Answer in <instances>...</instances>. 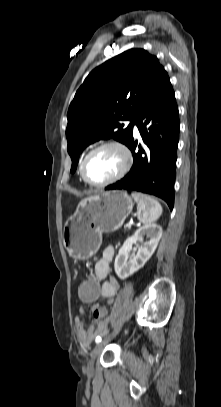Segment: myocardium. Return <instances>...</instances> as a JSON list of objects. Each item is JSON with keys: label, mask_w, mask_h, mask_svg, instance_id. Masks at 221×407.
<instances>
[{"label": "myocardium", "mask_w": 221, "mask_h": 407, "mask_svg": "<svg viewBox=\"0 0 221 407\" xmlns=\"http://www.w3.org/2000/svg\"><path fill=\"white\" fill-rule=\"evenodd\" d=\"M116 148L118 149L123 157H124V164L123 167L121 168V170L119 171L118 174H116L114 177L105 180L103 182H93L91 181L86 173V167H87V163L89 161V159L96 154L97 152H99L100 150H103L105 148ZM133 165V155L131 150L129 149V147L124 144L121 141L118 140H110L107 142H104L98 146H96L95 148H93L92 150H90L86 156L84 157L82 164H81V177L84 180V182H86L88 185L93 186V187H104V186H108L110 184H113L115 182H117L118 180L122 179L131 169Z\"/></svg>", "instance_id": "obj_1"}]
</instances>
